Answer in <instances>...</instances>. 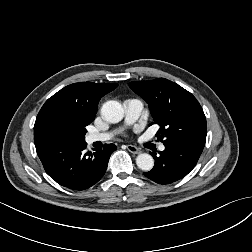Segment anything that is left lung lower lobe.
Returning <instances> with one entry per match:
<instances>
[{
    "instance_id": "0a47b994",
    "label": "left lung lower lobe",
    "mask_w": 252,
    "mask_h": 252,
    "mask_svg": "<svg viewBox=\"0 0 252 252\" xmlns=\"http://www.w3.org/2000/svg\"><path fill=\"white\" fill-rule=\"evenodd\" d=\"M204 147L190 143L165 146L160 156L152 153L155 166L144 175L158 184H170L185 177L197 164Z\"/></svg>"
}]
</instances>
